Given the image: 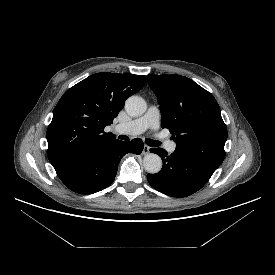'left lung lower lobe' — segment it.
I'll list each match as a JSON object with an SVG mask.
<instances>
[{"mask_svg":"<svg viewBox=\"0 0 275 275\" xmlns=\"http://www.w3.org/2000/svg\"><path fill=\"white\" fill-rule=\"evenodd\" d=\"M158 154L163 167L157 174H148L149 184L157 191L172 197H186L200 190L210 179L214 171L180 153L167 155L162 148H151Z\"/></svg>","mask_w":275,"mask_h":275,"instance_id":"obj_1","label":"left lung lower lobe"}]
</instances>
